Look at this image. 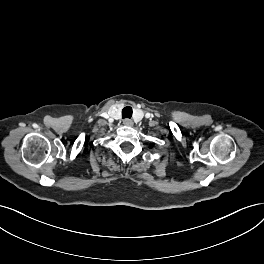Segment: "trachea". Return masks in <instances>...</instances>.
<instances>
[{"instance_id": "1", "label": "trachea", "mask_w": 264, "mask_h": 264, "mask_svg": "<svg viewBox=\"0 0 264 264\" xmlns=\"http://www.w3.org/2000/svg\"><path fill=\"white\" fill-rule=\"evenodd\" d=\"M132 108L130 106L124 107L122 110V117L123 118H131L132 117Z\"/></svg>"}]
</instances>
